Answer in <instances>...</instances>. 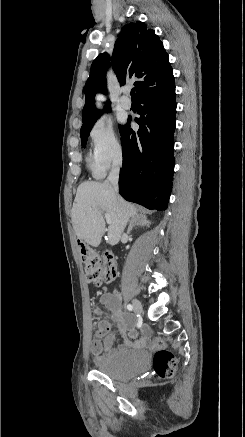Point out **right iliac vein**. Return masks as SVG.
I'll list each match as a JSON object with an SVG mask.
<instances>
[{
	"mask_svg": "<svg viewBox=\"0 0 245 437\" xmlns=\"http://www.w3.org/2000/svg\"><path fill=\"white\" fill-rule=\"evenodd\" d=\"M132 305L137 313H142V305L139 300L133 299Z\"/></svg>",
	"mask_w": 245,
	"mask_h": 437,
	"instance_id": "right-iliac-vein-1",
	"label": "right iliac vein"
}]
</instances>
